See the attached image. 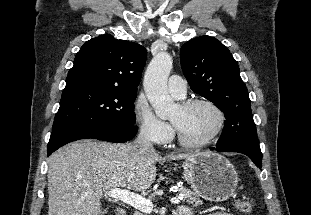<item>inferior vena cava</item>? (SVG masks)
I'll use <instances>...</instances> for the list:
<instances>
[{"label": "inferior vena cava", "mask_w": 311, "mask_h": 215, "mask_svg": "<svg viewBox=\"0 0 311 215\" xmlns=\"http://www.w3.org/2000/svg\"><path fill=\"white\" fill-rule=\"evenodd\" d=\"M152 132L146 128L142 127L139 135L135 141V146L139 150H147V149H153V139H152Z\"/></svg>", "instance_id": "602c4592"}]
</instances>
